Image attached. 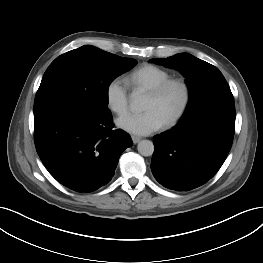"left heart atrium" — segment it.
Here are the masks:
<instances>
[{"instance_id":"left-heart-atrium-1","label":"left heart atrium","mask_w":263,"mask_h":263,"mask_svg":"<svg viewBox=\"0 0 263 263\" xmlns=\"http://www.w3.org/2000/svg\"><path fill=\"white\" fill-rule=\"evenodd\" d=\"M117 126L131 134L148 135L159 130L164 125V120L153 109H148L140 113H127L119 117Z\"/></svg>"}]
</instances>
